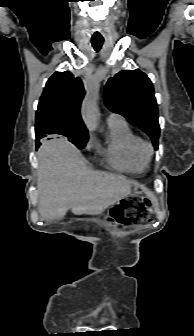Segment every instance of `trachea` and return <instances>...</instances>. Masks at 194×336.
<instances>
[{
	"mask_svg": "<svg viewBox=\"0 0 194 336\" xmlns=\"http://www.w3.org/2000/svg\"><path fill=\"white\" fill-rule=\"evenodd\" d=\"M91 43H92V46H93L94 50L96 52H98V51H100V49L103 45V40H97V41L92 40Z\"/></svg>",
	"mask_w": 194,
	"mask_h": 336,
	"instance_id": "trachea-1",
	"label": "trachea"
}]
</instances>
